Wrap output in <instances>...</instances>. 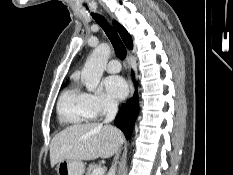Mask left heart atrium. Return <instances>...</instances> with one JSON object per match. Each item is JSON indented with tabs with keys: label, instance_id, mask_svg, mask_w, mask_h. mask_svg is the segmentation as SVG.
<instances>
[{
	"label": "left heart atrium",
	"instance_id": "1",
	"mask_svg": "<svg viewBox=\"0 0 233 175\" xmlns=\"http://www.w3.org/2000/svg\"><path fill=\"white\" fill-rule=\"evenodd\" d=\"M107 92L116 99L122 100L128 95V86L120 76H110L104 80Z\"/></svg>",
	"mask_w": 233,
	"mask_h": 175
}]
</instances>
